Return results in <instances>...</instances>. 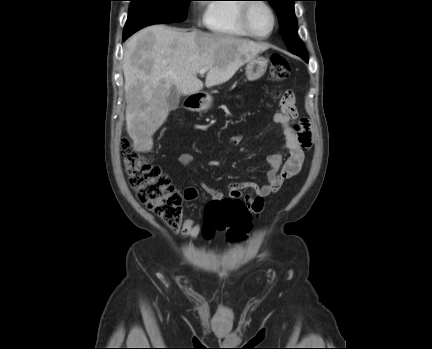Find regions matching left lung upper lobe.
<instances>
[{
  "label": "left lung upper lobe",
  "mask_w": 432,
  "mask_h": 349,
  "mask_svg": "<svg viewBox=\"0 0 432 349\" xmlns=\"http://www.w3.org/2000/svg\"><path fill=\"white\" fill-rule=\"evenodd\" d=\"M267 1L276 10L279 17L280 32L288 50L298 56L308 57V53L296 31L297 21L294 13V1L296 0Z\"/></svg>",
  "instance_id": "1"
}]
</instances>
